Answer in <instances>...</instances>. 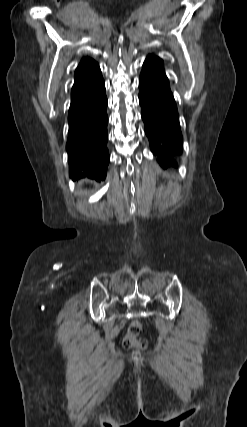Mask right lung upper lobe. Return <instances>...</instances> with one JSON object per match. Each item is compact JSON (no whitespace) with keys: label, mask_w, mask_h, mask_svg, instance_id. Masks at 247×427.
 <instances>
[{"label":"right lung upper lobe","mask_w":247,"mask_h":427,"mask_svg":"<svg viewBox=\"0 0 247 427\" xmlns=\"http://www.w3.org/2000/svg\"><path fill=\"white\" fill-rule=\"evenodd\" d=\"M98 68V64L93 59L83 58L75 71L74 78L75 80L83 78Z\"/></svg>","instance_id":"obj_1"}]
</instances>
